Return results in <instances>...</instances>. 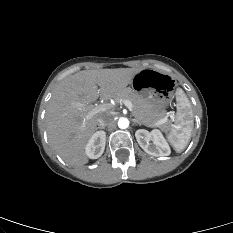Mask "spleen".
<instances>
[{
  "label": "spleen",
  "instance_id": "1",
  "mask_svg": "<svg viewBox=\"0 0 233 233\" xmlns=\"http://www.w3.org/2000/svg\"><path fill=\"white\" fill-rule=\"evenodd\" d=\"M178 111L175 123L167 133V138L176 152H182L191 140L194 127L191 103L181 88L176 91Z\"/></svg>",
  "mask_w": 233,
  "mask_h": 233
}]
</instances>
